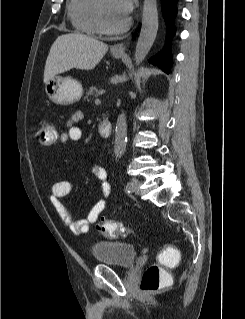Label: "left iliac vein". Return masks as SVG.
Here are the masks:
<instances>
[{
  "instance_id": "left-iliac-vein-1",
  "label": "left iliac vein",
  "mask_w": 245,
  "mask_h": 319,
  "mask_svg": "<svg viewBox=\"0 0 245 319\" xmlns=\"http://www.w3.org/2000/svg\"><path fill=\"white\" fill-rule=\"evenodd\" d=\"M140 181L136 178L131 180L132 189L131 192H134L135 194H140Z\"/></svg>"
}]
</instances>
